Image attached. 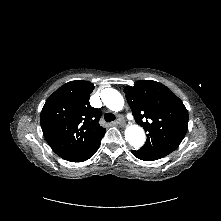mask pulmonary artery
I'll use <instances>...</instances> for the list:
<instances>
[{
    "label": "pulmonary artery",
    "instance_id": "1",
    "mask_svg": "<svg viewBox=\"0 0 221 221\" xmlns=\"http://www.w3.org/2000/svg\"><path fill=\"white\" fill-rule=\"evenodd\" d=\"M127 118L132 121L135 119L131 114H127Z\"/></svg>",
    "mask_w": 221,
    "mask_h": 221
}]
</instances>
